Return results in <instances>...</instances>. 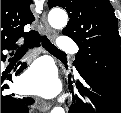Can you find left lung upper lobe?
Here are the masks:
<instances>
[{
  "mask_svg": "<svg viewBox=\"0 0 121 113\" xmlns=\"http://www.w3.org/2000/svg\"><path fill=\"white\" fill-rule=\"evenodd\" d=\"M70 17L63 34L79 46L74 64L81 75L88 73L121 91V51L117 18L109 0H49Z\"/></svg>",
  "mask_w": 121,
  "mask_h": 113,
  "instance_id": "5c2ea615",
  "label": "left lung upper lobe"
}]
</instances>
